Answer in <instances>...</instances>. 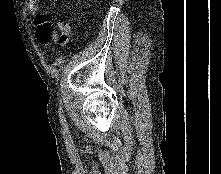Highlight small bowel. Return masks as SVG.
<instances>
[{
    "label": "small bowel",
    "mask_w": 221,
    "mask_h": 174,
    "mask_svg": "<svg viewBox=\"0 0 221 174\" xmlns=\"http://www.w3.org/2000/svg\"><path fill=\"white\" fill-rule=\"evenodd\" d=\"M39 0H26V8L32 15L38 13ZM34 24L36 26V36L40 43L47 44L50 39L57 41L60 44H66L70 38V26L68 22L58 21L57 29L53 30L49 19L45 16H37Z\"/></svg>",
    "instance_id": "obj_1"
}]
</instances>
